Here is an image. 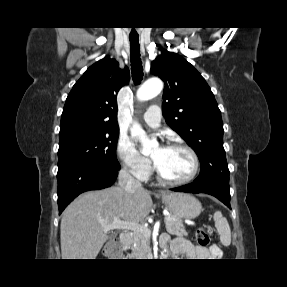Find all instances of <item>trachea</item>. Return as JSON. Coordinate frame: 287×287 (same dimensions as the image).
<instances>
[{
	"instance_id": "1",
	"label": "trachea",
	"mask_w": 287,
	"mask_h": 287,
	"mask_svg": "<svg viewBox=\"0 0 287 287\" xmlns=\"http://www.w3.org/2000/svg\"><path fill=\"white\" fill-rule=\"evenodd\" d=\"M129 40L132 77L134 83L139 84L143 78V67L140 59L139 37H129Z\"/></svg>"
}]
</instances>
